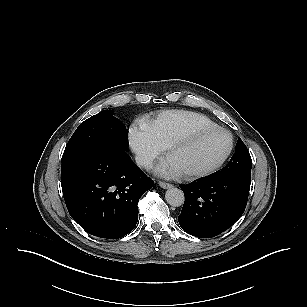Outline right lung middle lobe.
I'll return each mask as SVG.
<instances>
[{
    "label": "right lung middle lobe",
    "mask_w": 307,
    "mask_h": 307,
    "mask_svg": "<svg viewBox=\"0 0 307 307\" xmlns=\"http://www.w3.org/2000/svg\"><path fill=\"white\" fill-rule=\"evenodd\" d=\"M113 115V111L103 110L82 122L66 145L62 163L97 148L127 150L128 130Z\"/></svg>",
    "instance_id": "obj_1"
}]
</instances>
